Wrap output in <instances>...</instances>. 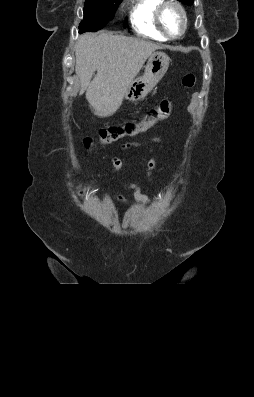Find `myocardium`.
<instances>
[{
	"mask_svg": "<svg viewBox=\"0 0 254 397\" xmlns=\"http://www.w3.org/2000/svg\"><path fill=\"white\" fill-rule=\"evenodd\" d=\"M168 7H174L175 9H177L181 16L182 29L178 35L169 34L164 27L162 17H163L164 11ZM155 21H156V25H157L159 31L169 40H176V39H179L180 37H182L184 35V33L186 32L187 26H188V17H187L186 11H185L184 7L182 6V4L180 2H178L177 0H162V2L158 5V7L156 9Z\"/></svg>",
	"mask_w": 254,
	"mask_h": 397,
	"instance_id": "1",
	"label": "myocardium"
}]
</instances>
